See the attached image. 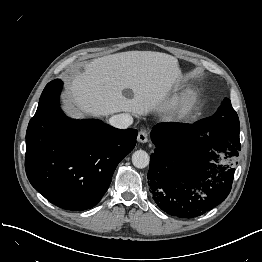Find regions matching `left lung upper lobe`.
Instances as JSON below:
<instances>
[{
	"mask_svg": "<svg viewBox=\"0 0 262 262\" xmlns=\"http://www.w3.org/2000/svg\"><path fill=\"white\" fill-rule=\"evenodd\" d=\"M198 126L210 131H239V118L231 102L225 98L217 112L208 118L196 122Z\"/></svg>",
	"mask_w": 262,
	"mask_h": 262,
	"instance_id": "1",
	"label": "left lung upper lobe"
}]
</instances>
